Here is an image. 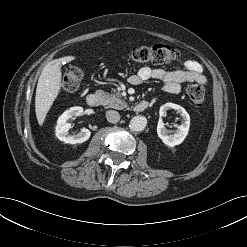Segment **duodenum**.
Listing matches in <instances>:
<instances>
[{"instance_id":"410a0bca","label":"duodenum","mask_w":247,"mask_h":247,"mask_svg":"<svg viewBox=\"0 0 247 247\" xmlns=\"http://www.w3.org/2000/svg\"><path fill=\"white\" fill-rule=\"evenodd\" d=\"M100 102V97L97 95V94H89L87 97H86V104L89 106V107H96ZM149 106V103L148 101H140L138 103L135 104L134 106V110L136 112H143L145 111Z\"/></svg>"}]
</instances>
